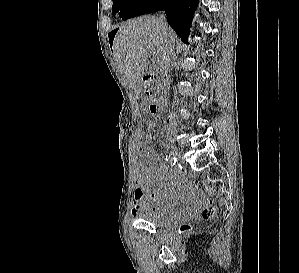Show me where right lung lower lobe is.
Segmentation results:
<instances>
[{
  "label": "right lung lower lobe",
  "instance_id": "right-lung-lower-lobe-1",
  "mask_svg": "<svg viewBox=\"0 0 299 273\" xmlns=\"http://www.w3.org/2000/svg\"><path fill=\"white\" fill-rule=\"evenodd\" d=\"M198 0H136L122 16L123 20L140 14L164 10L169 25L185 43H188L193 14Z\"/></svg>",
  "mask_w": 299,
  "mask_h": 273
}]
</instances>
